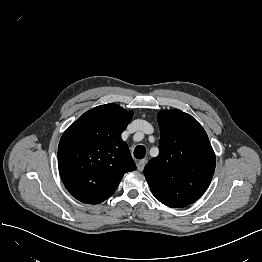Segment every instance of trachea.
Returning <instances> with one entry per match:
<instances>
[{
  "label": "trachea",
  "mask_w": 262,
  "mask_h": 262,
  "mask_svg": "<svg viewBox=\"0 0 262 262\" xmlns=\"http://www.w3.org/2000/svg\"><path fill=\"white\" fill-rule=\"evenodd\" d=\"M146 155V148L143 145H138L134 149V157L137 159H143Z\"/></svg>",
  "instance_id": "1"
}]
</instances>
